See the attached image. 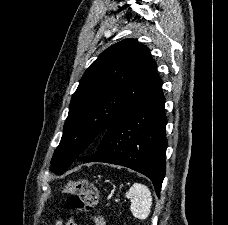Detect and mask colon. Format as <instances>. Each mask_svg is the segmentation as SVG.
<instances>
[{
    "label": "colon",
    "instance_id": "5ec220e1",
    "mask_svg": "<svg viewBox=\"0 0 228 225\" xmlns=\"http://www.w3.org/2000/svg\"><path fill=\"white\" fill-rule=\"evenodd\" d=\"M61 192L69 196L68 206L72 213L86 215L93 225H105L103 218L93 213L98 189L92 181L70 180L62 186Z\"/></svg>",
    "mask_w": 228,
    "mask_h": 225
}]
</instances>
